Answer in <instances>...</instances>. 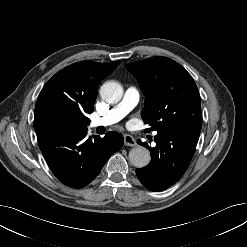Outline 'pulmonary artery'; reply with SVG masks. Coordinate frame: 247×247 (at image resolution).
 <instances>
[{
	"mask_svg": "<svg viewBox=\"0 0 247 247\" xmlns=\"http://www.w3.org/2000/svg\"><path fill=\"white\" fill-rule=\"evenodd\" d=\"M139 101V93L136 88L130 87L126 90L119 104L111 108L105 114L91 120L90 128L110 126L123 119Z\"/></svg>",
	"mask_w": 247,
	"mask_h": 247,
	"instance_id": "e3ab8cb5",
	"label": "pulmonary artery"
}]
</instances>
